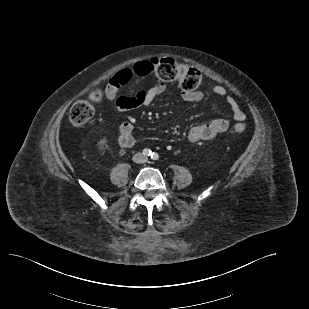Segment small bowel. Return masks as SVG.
<instances>
[{"instance_id": "obj_1", "label": "small bowel", "mask_w": 309, "mask_h": 309, "mask_svg": "<svg viewBox=\"0 0 309 309\" xmlns=\"http://www.w3.org/2000/svg\"><path fill=\"white\" fill-rule=\"evenodd\" d=\"M153 73L150 61H141L132 67L124 68L116 72L105 87V96L108 100H116V108L119 111H126L139 106H149L158 96L165 93L167 87L163 82L156 83L148 89L138 91L133 96L117 97L120 88L128 84L135 77H145ZM213 92L222 98L229 106L232 117L236 122H243L246 115L239 103L232 97L226 88L215 85ZM183 99L188 102H200L203 99L201 91H184ZM230 121L226 118H215L206 123L193 126L188 132V139L191 142L211 140L227 131ZM119 143L123 148H130L135 143L133 125L131 122H124L119 127Z\"/></svg>"}]
</instances>
